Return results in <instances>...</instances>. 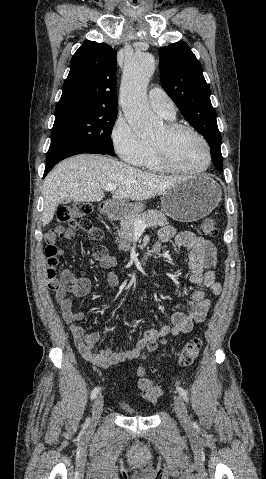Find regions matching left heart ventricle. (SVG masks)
I'll use <instances>...</instances> for the list:
<instances>
[{
    "label": "left heart ventricle",
    "instance_id": "obj_1",
    "mask_svg": "<svg viewBox=\"0 0 266 479\" xmlns=\"http://www.w3.org/2000/svg\"><path fill=\"white\" fill-rule=\"evenodd\" d=\"M151 141L158 144L176 166L198 169L205 163V151L199 139L188 131L170 133L166 127L158 130Z\"/></svg>",
    "mask_w": 266,
    "mask_h": 479
}]
</instances>
